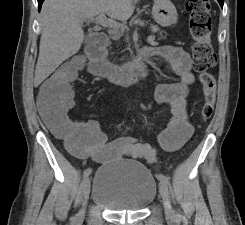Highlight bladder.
Segmentation results:
<instances>
[{
	"label": "bladder",
	"mask_w": 245,
	"mask_h": 225,
	"mask_svg": "<svg viewBox=\"0 0 245 225\" xmlns=\"http://www.w3.org/2000/svg\"><path fill=\"white\" fill-rule=\"evenodd\" d=\"M157 187L156 176L145 165L122 159L96 171L91 199L111 212H138L153 202Z\"/></svg>",
	"instance_id": "31cf9c89"
}]
</instances>
